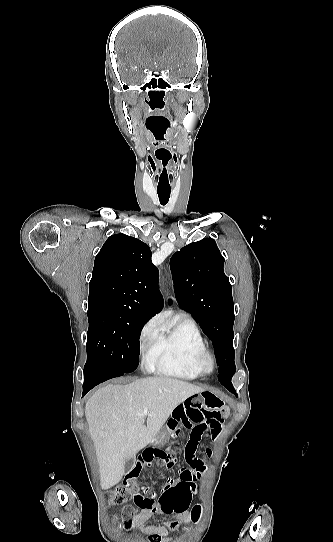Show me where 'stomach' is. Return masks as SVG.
I'll return each instance as SVG.
<instances>
[{"mask_svg":"<svg viewBox=\"0 0 333 542\" xmlns=\"http://www.w3.org/2000/svg\"><path fill=\"white\" fill-rule=\"evenodd\" d=\"M186 400H200L202 408H204V410H207V412H214V410H220L221 406H223L224 404L222 398H219V396H217V394H213V392H209V390H204V392H200V394H197L196 397H188ZM169 440L170 425L167 423L166 426H163V428H161V432H158L157 436H155L151 444H154V446H163V444H167Z\"/></svg>","mask_w":333,"mask_h":542,"instance_id":"stomach-1","label":"stomach"}]
</instances>
